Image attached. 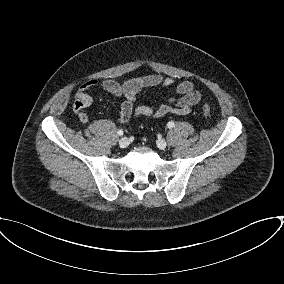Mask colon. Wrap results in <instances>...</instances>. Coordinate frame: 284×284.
<instances>
[{
	"label": "colon",
	"instance_id": "colon-1",
	"mask_svg": "<svg viewBox=\"0 0 284 284\" xmlns=\"http://www.w3.org/2000/svg\"><path fill=\"white\" fill-rule=\"evenodd\" d=\"M202 110L203 113L206 117H210L211 116V108L207 103H204L202 106Z\"/></svg>",
	"mask_w": 284,
	"mask_h": 284
}]
</instances>
